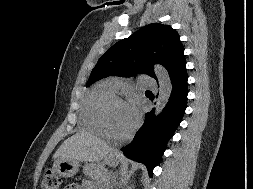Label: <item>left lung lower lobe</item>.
<instances>
[{
	"instance_id": "left-lung-lower-lobe-1",
	"label": "left lung lower lobe",
	"mask_w": 253,
	"mask_h": 189,
	"mask_svg": "<svg viewBox=\"0 0 253 189\" xmlns=\"http://www.w3.org/2000/svg\"><path fill=\"white\" fill-rule=\"evenodd\" d=\"M171 80L173 83L171 96L163 111L157 117L152 115L154 109L147 113L144 126L136 133L133 141L121 148L128 158L144 163L150 176L187 107L186 60L176 69Z\"/></svg>"
}]
</instances>
